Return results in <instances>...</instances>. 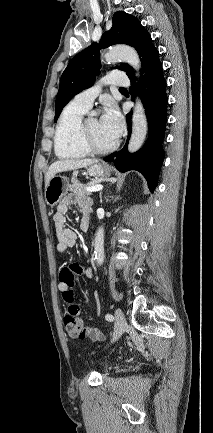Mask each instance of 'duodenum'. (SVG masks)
Here are the masks:
<instances>
[{
	"label": "duodenum",
	"instance_id": "410a0bca",
	"mask_svg": "<svg viewBox=\"0 0 213 433\" xmlns=\"http://www.w3.org/2000/svg\"><path fill=\"white\" fill-rule=\"evenodd\" d=\"M88 229H89V228H86L84 231L86 232V231H88Z\"/></svg>",
	"mask_w": 213,
	"mask_h": 433
}]
</instances>
